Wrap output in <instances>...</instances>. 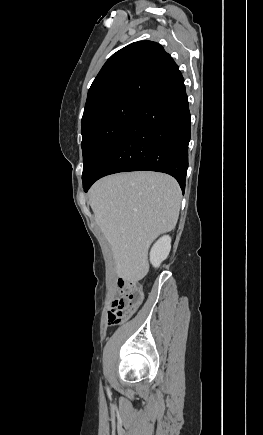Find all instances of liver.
Segmentation results:
<instances>
[{"label":"liver","instance_id":"6515ba94","mask_svg":"<svg viewBox=\"0 0 263 435\" xmlns=\"http://www.w3.org/2000/svg\"><path fill=\"white\" fill-rule=\"evenodd\" d=\"M181 196L173 177L156 172L115 174L91 187L89 204L111 246L118 277L137 282L147 275L149 247L175 228Z\"/></svg>","mask_w":263,"mask_h":435}]
</instances>
